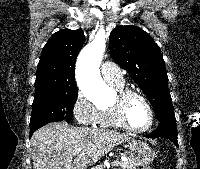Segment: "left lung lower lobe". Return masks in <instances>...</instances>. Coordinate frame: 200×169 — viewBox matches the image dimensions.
Here are the masks:
<instances>
[{"label":"left lung lower lobe","mask_w":200,"mask_h":169,"mask_svg":"<svg viewBox=\"0 0 200 169\" xmlns=\"http://www.w3.org/2000/svg\"><path fill=\"white\" fill-rule=\"evenodd\" d=\"M147 138L163 137L171 140L178 146L176 122H160L158 128L151 134L146 135Z\"/></svg>","instance_id":"obj_1"}]
</instances>
